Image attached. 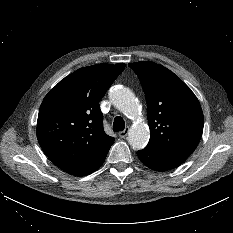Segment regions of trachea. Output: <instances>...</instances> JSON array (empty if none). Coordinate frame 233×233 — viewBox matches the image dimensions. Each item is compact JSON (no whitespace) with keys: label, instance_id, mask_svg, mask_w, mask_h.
Here are the masks:
<instances>
[{"label":"trachea","instance_id":"obj_1","mask_svg":"<svg viewBox=\"0 0 233 233\" xmlns=\"http://www.w3.org/2000/svg\"><path fill=\"white\" fill-rule=\"evenodd\" d=\"M125 128V122L122 117L117 116L114 119L113 122V131L118 132V131H123Z\"/></svg>","mask_w":233,"mask_h":233}]
</instances>
